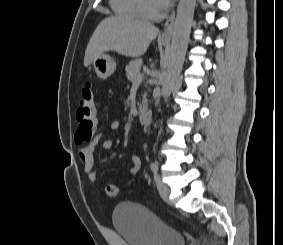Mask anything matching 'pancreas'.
Masks as SVG:
<instances>
[{
  "mask_svg": "<svg viewBox=\"0 0 283 245\" xmlns=\"http://www.w3.org/2000/svg\"><path fill=\"white\" fill-rule=\"evenodd\" d=\"M142 64H143L142 59H134L129 62V64L125 68L126 76L129 81L134 82L141 75L140 71ZM142 105L143 106L146 105L145 95L143 96ZM142 105H140V108L142 107Z\"/></svg>",
  "mask_w": 283,
  "mask_h": 245,
  "instance_id": "pancreas-1",
  "label": "pancreas"
}]
</instances>
